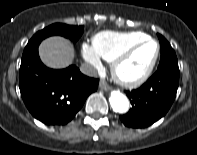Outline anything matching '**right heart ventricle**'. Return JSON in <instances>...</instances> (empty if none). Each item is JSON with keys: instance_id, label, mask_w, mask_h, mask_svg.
<instances>
[{"instance_id": "1", "label": "right heart ventricle", "mask_w": 197, "mask_h": 155, "mask_svg": "<svg viewBox=\"0 0 197 155\" xmlns=\"http://www.w3.org/2000/svg\"><path fill=\"white\" fill-rule=\"evenodd\" d=\"M146 37L145 33L139 31H104L93 37L92 47L100 58L112 62L125 48Z\"/></svg>"}]
</instances>
